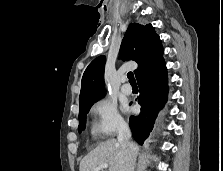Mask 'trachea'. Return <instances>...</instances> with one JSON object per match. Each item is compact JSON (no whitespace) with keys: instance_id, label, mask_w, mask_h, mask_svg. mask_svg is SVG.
Masks as SVG:
<instances>
[{"instance_id":"3493384b","label":"trachea","mask_w":223,"mask_h":171,"mask_svg":"<svg viewBox=\"0 0 223 171\" xmlns=\"http://www.w3.org/2000/svg\"><path fill=\"white\" fill-rule=\"evenodd\" d=\"M127 77L129 78V82L131 84H136V80L134 79V76H133L132 72H128Z\"/></svg>"}]
</instances>
